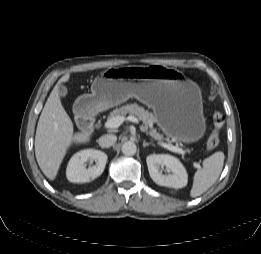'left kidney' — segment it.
Wrapping results in <instances>:
<instances>
[{
  "instance_id": "left-kidney-1",
  "label": "left kidney",
  "mask_w": 261,
  "mask_h": 254,
  "mask_svg": "<svg viewBox=\"0 0 261 254\" xmlns=\"http://www.w3.org/2000/svg\"><path fill=\"white\" fill-rule=\"evenodd\" d=\"M146 163L150 177L156 184L175 189L187 185L188 174L177 158L167 154H152L147 156ZM160 167H165L168 174H163Z\"/></svg>"
}]
</instances>
